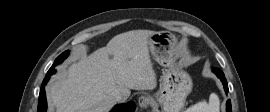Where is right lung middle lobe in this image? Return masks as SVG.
I'll return each instance as SVG.
<instances>
[{
    "instance_id": "obj_1",
    "label": "right lung middle lobe",
    "mask_w": 270,
    "mask_h": 112,
    "mask_svg": "<svg viewBox=\"0 0 270 112\" xmlns=\"http://www.w3.org/2000/svg\"><path fill=\"white\" fill-rule=\"evenodd\" d=\"M68 54H69V51L63 52L60 56L56 58L52 66L55 67L57 64H60L61 62H63V60L68 56Z\"/></svg>"
}]
</instances>
